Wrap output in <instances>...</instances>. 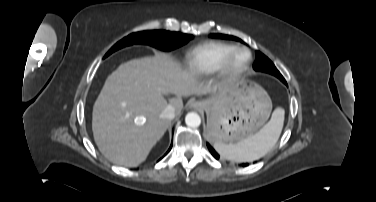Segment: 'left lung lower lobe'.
<instances>
[{"label":"left lung lower lobe","mask_w":376,"mask_h":202,"mask_svg":"<svg viewBox=\"0 0 376 202\" xmlns=\"http://www.w3.org/2000/svg\"><path fill=\"white\" fill-rule=\"evenodd\" d=\"M282 82H283L284 84L287 85L285 79L282 80ZM207 147H208L209 151L211 152V154L213 155V157L216 158V159H219V155H218L217 152H216V151L210 146L209 143H207ZM248 165H249L248 163H246V164L243 163V164H242L243 167L248 166Z\"/></svg>","instance_id":"0a47b994"}]
</instances>
